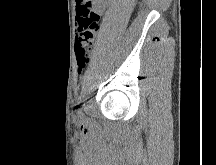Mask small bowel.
<instances>
[{"instance_id": "obj_1", "label": "small bowel", "mask_w": 216, "mask_h": 165, "mask_svg": "<svg viewBox=\"0 0 216 165\" xmlns=\"http://www.w3.org/2000/svg\"><path fill=\"white\" fill-rule=\"evenodd\" d=\"M77 2V23L82 19V9L83 10H93V12L100 16L102 15L106 7L108 6L110 0H76Z\"/></svg>"}]
</instances>
